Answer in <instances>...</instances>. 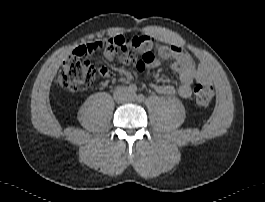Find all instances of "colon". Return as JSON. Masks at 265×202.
<instances>
[{"label": "colon", "instance_id": "colon-1", "mask_svg": "<svg viewBox=\"0 0 265 202\" xmlns=\"http://www.w3.org/2000/svg\"><path fill=\"white\" fill-rule=\"evenodd\" d=\"M146 37L125 38L116 36L102 39L88 46L91 55L101 52L115 51L129 54L136 49L144 51L136 63V68L143 71L144 60L154 54V50L145 44ZM88 54L73 53L65 59L57 75V84L61 89L76 93L96 82L98 79H111L113 72L109 68H97L87 58ZM196 104L199 107H209L213 100L215 90L212 85L196 82L193 85Z\"/></svg>", "mask_w": 265, "mask_h": 202}]
</instances>
